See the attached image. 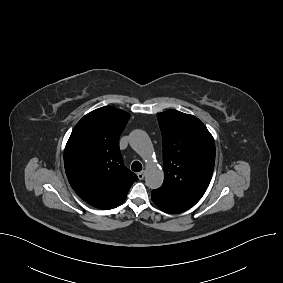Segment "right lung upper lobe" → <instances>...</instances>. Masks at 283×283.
Masks as SVG:
<instances>
[{
	"mask_svg": "<svg viewBox=\"0 0 283 283\" xmlns=\"http://www.w3.org/2000/svg\"><path fill=\"white\" fill-rule=\"evenodd\" d=\"M129 118V113L114 107L96 109L76 124L66 144L64 166L69 183L96 208H116L138 180L124 166L119 149V137Z\"/></svg>",
	"mask_w": 283,
	"mask_h": 283,
	"instance_id": "cb5924a9",
	"label": "right lung upper lobe"
}]
</instances>
